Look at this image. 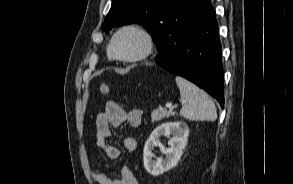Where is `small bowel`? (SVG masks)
Here are the masks:
<instances>
[{
	"label": "small bowel",
	"instance_id": "small-bowel-1",
	"mask_svg": "<svg viewBox=\"0 0 293 184\" xmlns=\"http://www.w3.org/2000/svg\"><path fill=\"white\" fill-rule=\"evenodd\" d=\"M142 110L126 108L118 102L108 101L105 110L96 117V144L102 149L109 159H117L120 151L117 147L110 144L112 138V129L127 123L131 127H138L142 120ZM123 146L128 152H133L137 148V142L132 137L123 139ZM92 179L98 184H139L138 180L127 167L123 166L116 177H111L108 173L99 168L91 170Z\"/></svg>",
	"mask_w": 293,
	"mask_h": 184
}]
</instances>
